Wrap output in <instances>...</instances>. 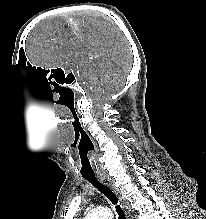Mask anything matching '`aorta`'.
I'll list each match as a JSON object with an SVG mask.
<instances>
[{
	"instance_id": "762f6f07",
	"label": "aorta",
	"mask_w": 206,
	"mask_h": 219,
	"mask_svg": "<svg viewBox=\"0 0 206 219\" xmlns=\"http://www.w3.org/2000/svg\"><path fill=\"white\" fill-rule=\"evenodd\" d=\"M85 219H113V214L109 209H95Z\"/></svg>"
}]
</instances>
